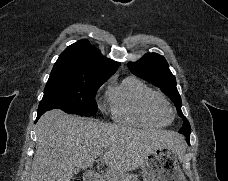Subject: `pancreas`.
I'll return each instance as SVG.
<instances>
[{"label": "pancreas", "mask_w": 228, "mask_h": 181, "mask_svg": "<svg viewBox=\"0 0 228 181\" xmlns=\"http://www.w3.org/2000/svg\"><path fill=\"white\" fill-rule=\"evenodd\" d=\"M101 179L104 181H136L134 175L125 173V171H114V169H108Z\"/></svg>", "instance_id": "1"}]
</instances>
